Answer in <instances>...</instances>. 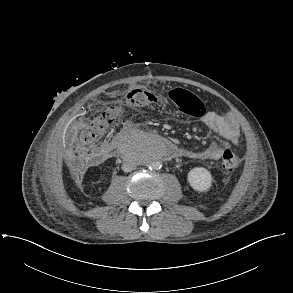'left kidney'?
Returning a JSON list of instances; mask_svg holds the SVG:
<instances>
[{
    "label": "left kidney",
    "instance_id": "1",
    "mask_svg": "<svg viewBox=\"0 0 293 293\" xmlns=\"http://www.w3.org/2000/svg\"><path fill=\"white\" fill-rule=\"evenodd\" d=\"M190 186L198 192H207L212 186V175L203 167L191 169L187 175Z\"/></svg>",
    "mask_w": 293,
    "mask_h": 293
}]
</instances>
